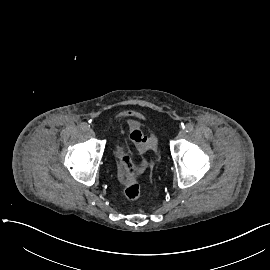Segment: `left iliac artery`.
<instances>
[{"label":"left iliac artery","mask_w":270,"mask_h":270,"mask_svg":"<svg viewBox=\"0 0 270 270\" xmlns=\"http://www.w3.org/2000/svg\"><path fill=\"white\" fill-rule=\"evenodd\" d=\"M193 124L192 123H187L185 126H184V130L187 132V133H189V132H191L192 130H193Z\"/></svg>","instance_id":"obj_1"}]
</instances>
